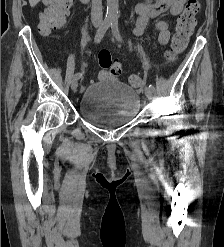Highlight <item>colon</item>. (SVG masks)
<instances>
[{
	"instance_id": "5ec220e1",
	"label": "colon",
	"mask_w": 224,
	"mask_h": 247,
	"mask_svg": "<svg viewBox=\"0 0 224 247\" xmlns=\"http://www.w3.org/2000/svg\"><path fill=\"white\" fill-rule=\"evenodd\" d=\"M45 5L46 8L40 14L39 29L42 33L49 34L62 26L72 6V0H45ZM199 10V0H187L184 11L178 18L175 33L167 51L169 60H174L187 47L196 26V15ZM98 62L100 67L108 70L111 75H121L122 65L112 60L108 50L103 49L99 52ZM130 83L134 87H139L142 84V78L139 75H132Z\"/></svg>"
}]
</instances>
